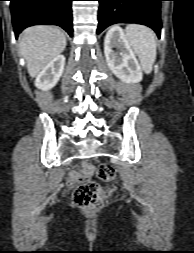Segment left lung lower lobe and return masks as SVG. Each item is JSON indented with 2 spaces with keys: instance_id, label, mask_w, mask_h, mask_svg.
I'll use <instances>...</instances> for the list:
<instances>
[{
  "instance_id": "0a47b994",
  "label": "left lung lower lobe",
  "mask_w": 194,
  "mask_h": 253,
  "mask_svg": "<svg viewBox=\"0 0 194 253\" xmlns=\"http://www.w3.org/2000/svg\"><path fill=\"white\" fill-rule=\"evenodd\" d=\"M97 34L116 23H138L161 33V1L164 0H98Z\"/></svg>"
}]
</instances>
